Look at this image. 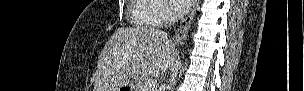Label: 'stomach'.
<instances>
[{
  "instance_id": "0dacf381",
  "label": "stomach",
  "mask_w": 304,
  "mask_h": 91,
  "mask_svg": "<svg viewBox=\"0 0 304 91\" xmlns=\"http://www.w3.org/2000/svg\"><path fill=\"white\" fill-rule=\"evenodd\" d=\"M120 90L134 91V88L128 84H125V85L121 86L118 91H120Z\"/></svg>"
}]
</instances>
